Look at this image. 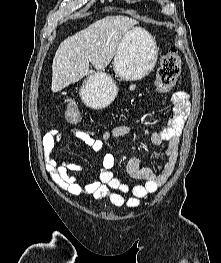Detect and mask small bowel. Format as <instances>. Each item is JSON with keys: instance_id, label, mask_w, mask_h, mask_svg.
I'll return each instance as SVG.
<instances>
[{"instance_id": "obj_1", "label": "small bowel", "mask_w": 221, "mask_h": 263, "mask_svg": "<svg viewBox=\"0 0 221 263\" xmlns=\"http://www.w3.org/2000/svg\"><path fill=\"white\" fill-rule=\"evenodd\" d=\"M169 99L172 106V116L162 130L151 133V142L154 145L167 144L165 151L167 162L159 172H154L150 168H141L140 161L136 157H131L127 161L128 176L133 180L144 181L143 184L130 187L119 180L111 171L115 159L110 153H106L102 158V167L98 178L86 184L79 182L78 174L82 172L83 168L76 164L72 158L58 157L48 160L46 169L53 182L72 196L79 197L87 194L96 199L108 198L116 207L126 206L131 209L139 207L142 200H147L167 181L179 158V141L189 114L188 94L178 91L172 94ZM134 131V126L117 125L103 132L99 138L94 131L79 126L53 129L44 136L43 149L45 154L52 153L66 132L84 142L92 150L99 151L103 148L104 142L112 138L123 137Z\"/></svg>"}]
</instances>
